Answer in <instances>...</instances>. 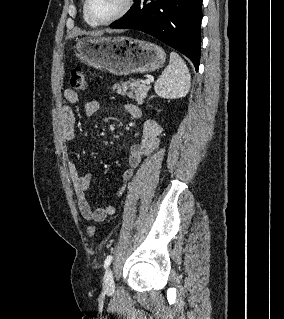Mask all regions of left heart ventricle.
Returning <instances> with one entry per match:
<instances>
[{
  "label": "left heart ventricle",
  "instance_id": "b2bd125f",
  "mask_svg": "<svg viewBox=\"0 0 284 319\" xmlns=\"http://www.w3.org/2000/svg\"><path fill=\"white\" fill-rule=\"evenodd\" d=\"M123 0H90L89 12L96 20H106L118 12Z\"/></svg>",
  "mask_w": 284,
  "mask_h": 319
}]
</instances>
